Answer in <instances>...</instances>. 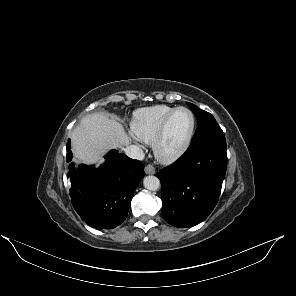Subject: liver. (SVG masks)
<instances>
[{
    "label": "liver",
    "instance_id": "6515ba94",
    "mask_svg": "<svg viewBox=\"0 0 296 296\" xmlns=\"http://www.w3.org/2000/svg\"><path fill=\"white\" fill-rule=\"evenodd\" d=\"M129 136L123 126L101 113L82 118L71 134L72 151L78 162L102 163V155L111 148L128 146Z\"/></svg>",
    "mask_w": 296,
    "mask_h": 296
}]
</instances>
